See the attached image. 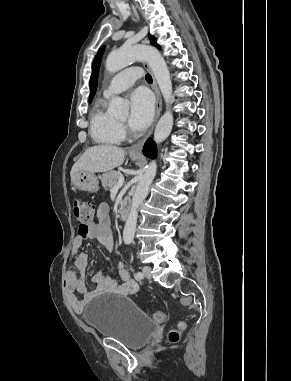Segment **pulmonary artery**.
I'll return each instance as SVG.
<instances>
[{"instance_id":"1","label":"pulmonary artery","mask_w":291,"mask_h":381,"mask_svg":"<svg viewBox=\"0 0 291 381\" xmlns=\"http://www.w3.org/2000/svg\"><path fill=\"white\" fill-rule=\"evenodd\" d=\"M141 74L142 71L138 67H131L119 72L109 82V85L104 90V96L109 97L127 90L134 85L136 80L141 77Z\"/></svg>"}]
</instances>
